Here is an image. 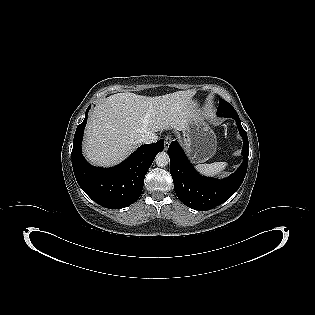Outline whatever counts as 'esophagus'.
<instances>
[{"mask_svg":"<svg viewBox=\"0 0 315 315\" xmlns=\"http://www.w3.org/2000/svg\"><path fill=\"white\" fill-rule=\"evenodd\" d=\"M164 140H165L164 148H165V150H168L169 145H170V143H171V141H172V138H171V136H166V137L164 138Z\"/></svg>","mask_w":315,"mask_h":315,"instance_id":"obj_1","label":"esophagus"}]
</instances>
